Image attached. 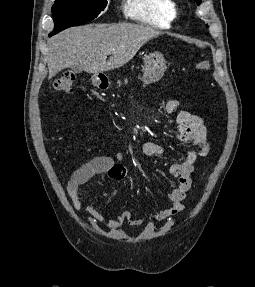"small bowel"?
I'll list each match as a JSON object with an SVG mask.
<instances>
[{
	"label": "small bowel",
	"instance_id": "1",
	"mask_svg": "<svg viewBox=\"0 0 255 287\" xmlns=\"http://www.w3.org/2000/svg\"><path fill=\"white\" fill-rule=\"evenodd\" d=\"M179 102L176 99H169L164 104V111L168 114L178 110ZM178 139L189 147V151L181 163L171 165L169 171L177 179V187L168 194L169 204L150 218V224L154 221L165 220L183 210V200L189 191L194 171V163L198 158L205 157L210 151V143L207 138V131L201 117L187 111L177 113ZM141 152L145 156H163L165 149L154 142H145L141 145ZM121 159L122 155L119 154ZM127 176L126 168L109 156H97L80 168L71 176L67 191L75 210L82 207L81 190L82 186L95 177H108L113 180H123ZM89 219L91 223L101 224L110 230L120 229L128 222L132 226L140 225L141 220H135L129 211H122L111 217L95 208L88 206Z\"/></svg>",
	"mask_w": 255,
	"mask_h": 287
}]
</instances>
